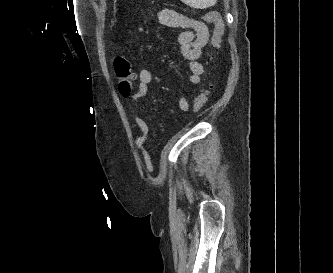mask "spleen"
<instances>
[{
    "instance_id": "obj_1",
    "label": "spleen",
    "mask_w": 333,
    "mask_h": 273,
    "mask_svg": "<svg viewBox=\"0 0 333 273\" xmlns=\"http://www.w3.org/2000/svg\"><path fill=\"white\" fill-rule=\"evenodd\" d=\"M193 8L204 9L216 4L217 0H181Z\"/></svg>"
}]
</instances>
